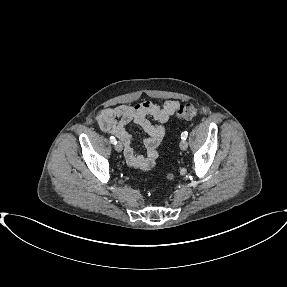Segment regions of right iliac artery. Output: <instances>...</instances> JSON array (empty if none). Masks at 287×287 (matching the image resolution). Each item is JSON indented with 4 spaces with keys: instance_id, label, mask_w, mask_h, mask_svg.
<instances>
[{
    "instance_id": "1",
    "label": "right iliac artery",
    "mask_w": 287,
    "mask_h": 287,
    "mask_svg": "<svg viewBox=\"0 0 287 287\" xmlns=\"http://www.w3.org/2000/svg\"><path fill=\"white\" fill-rule=\"evenodd\" d=\"M110 142H111L112 144H116V143H117V141H116V139H115L114 136H111V137H110Z\"/></svg>"
}]
</instances>
